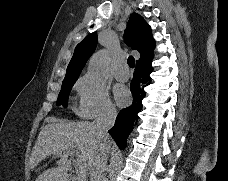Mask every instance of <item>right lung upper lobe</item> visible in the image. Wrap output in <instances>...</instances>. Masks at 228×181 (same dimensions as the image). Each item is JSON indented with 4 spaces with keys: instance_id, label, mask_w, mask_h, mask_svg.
<instances>
[{
    "instance_id": "obj_1",
    "label": "right lung upper lobe",
    "mask_w": 228,
    "mask_h": 181,
    "mask_svg": "<svg viewBox=\"0 0 228 181\" xmlns=\"http://www.w3.org/2000/svg\"><path fill=\"white\" fill-rule=\"evenodd\" d=\"M124 38L129 47L137 50L140 53L141 57L137 62L153 54L155 41L152 37L151 28L139 14L133 13L130 16L124 33ZM96 46V32L87 35L83 41L76 46L73 57L67 67L66 76L63 82L78 79L82 68L95 51Z\"/></svg>"
}]
</instances>
